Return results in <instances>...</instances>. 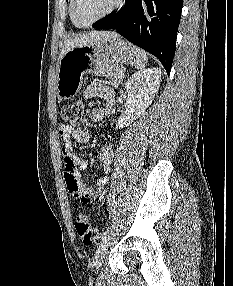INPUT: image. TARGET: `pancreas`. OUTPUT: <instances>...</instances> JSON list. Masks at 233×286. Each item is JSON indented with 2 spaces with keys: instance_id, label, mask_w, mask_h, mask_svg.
<instances>
[{
  "instance_id": "pancreas-1",
  "label": "pancreas",
  "mask_w": 233,
  "mask_h": 286,
  "mask_svg": "<svg viewBox=\"0 0 233 286\" xmlns=\"http://www.w3.org/2000/svg\"><path fill=\"white\" fill-rule=\"evenodd\" d=\"M122 71L121 66H105L100 68L97 72H95L96 76H105L115 85H118L122 82V77H120L119 73Z\"/></svg>"
}]
</instances>
